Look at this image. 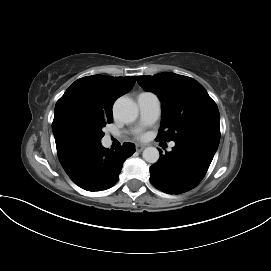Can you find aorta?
<instances>
[{"mask_svg": "<svg viewBox=\"0 0 271 271\" xmlns=\"http://www.w3.org/2000/svg\"><path fill=\"white\" fill-rule=\"evenodd\" d=\"M115 117L124 123H131L138 117L136 103L126 97L117 99L113 106ZM143 159L148 163H156L159 159V151L155 147H147L142 153Z\"/></svg>", "mask_w": 271, "mask_h": 271, "instance_id": "1", "label": "aorta"}]
</instances>
